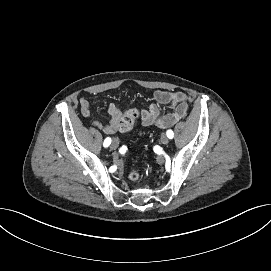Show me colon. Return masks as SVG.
Masks as SVG:
<instances>
[{"mask_svg": "<svg viewBox=\"0 0 271 271\" xmlns=\"http://www.w3.org/2000/svg\"><path fill=\"white\" fill-rule=\"evenodd\" d=\"M138 117V112L135 109H130L126 111L118 123V129L121 132H129L133 129L135 121ZM129 178L132 181H138L140 178V173L138 170L133 169L129 173Z\"/></svg>", "mask_w": 271, "mask_h": 271, "instance_id": "obj_1", "label": "colon"}]
</instances>
